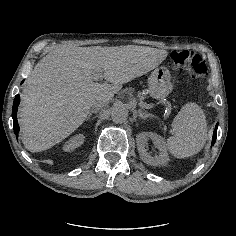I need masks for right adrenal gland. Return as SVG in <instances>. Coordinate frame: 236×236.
I'll return each mask as SVG.
<instances>
[{
    "instance_id": "2a0ac1e0",
    "label": "right adrenal gland",
    "mask_w": 236,
    "mask_h": 236,
    "mask_svg": "<svg viewBox=\"0 0 236 236\" xmlns=\"http://www.w3.org/2000/svg\"><path fill=\"white\" fill-rule=\"evenodd\" d=\"M102 109V107L99 108H92L91 111L88 114V117L86 120H89L91 115L94 114L95 116L97 115V112H99ZM95 118V117H94Z\"/></svg>"
}]
</instances>
